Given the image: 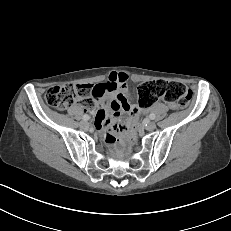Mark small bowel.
I'll list each match as a JSON object with an SVG mask.
<instances>
[{
    "mask_svg": "<svg viewBox=\"0 0 231 231\" xmlns=\"http://www.w3.org/2000/svg\"><path fill=\"white\" fill-rule=\"evenodd\" d=\"M128 77L124 73H112L107 81L96 85H90L92 98L101 101L104 107L97 112L96 129L99 131L109 130L111 135L108 139L114 140L117 132L116 124L122 111L137 110L132 104L130 93L127 89ZM112 95V98H109Z\"/></svg>",
    "mask_w": 231,
    "mask_h": 231,
    "instance_id": "c3829d8e",
    "label": "small bowel"
}]
</instances>
